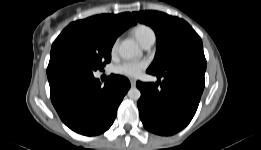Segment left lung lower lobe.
Masks as SVG:
<instances>
[{
    "instance_id": "0a47b994",
    "label": "left lung lower lobe",
    "mask_w": 261,
    "mask_h": 150,
    "mask_svg": "<svg viewBox=\"0 0 261 150\" xmlns=\"http://www.w3.org/2000/svg\"><path fill=\"white\" fill-rule=\"evenodd\" d=\"M205 57L185 56L163 72L147 73L163 78L156 83L137 82L138 100L144 127L158 135H173L193 118L205 86Z\"/></svg>"
}]
</instances>
